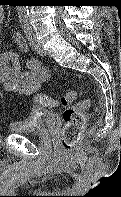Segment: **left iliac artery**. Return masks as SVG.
I'll return each instance as SVG.
<instances>
[{
  "instance_id": "44dca946",
  "label": "left iliac artery",
  "mask_w": 121,
  "mask_h": 197,
  "mask_svg": "<svg viewBox=\"0 0 121 197\" xmlns=\"http://www.w3.org/2000/svg\"><path fill=\"white\" fill-rule=\"evenodd\" d=\"M22 28H23L24 34H25L29 44L33 45L34 34H33L32 28L29 25L28 21H25V20L22 21Z\"/></svg>"
}]
</instances>
